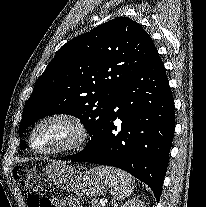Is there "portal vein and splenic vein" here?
Instances as JSON below:
<instances>
[{
	"label": "portal vein and splenic vein",
	"mask_w": 206,
	"mask_h": 207,
	"mask_svg": "<svg viewBox=\"0 0 206 207\" xmlns=\"http://www.w3.org/2000/svg\"><path fill=\"white\" fill-rule=\"evenodd\" d=\"M102 206H104V202H101Z\"/></svg>",
	"instance_id": "1"
}]
</instances>
